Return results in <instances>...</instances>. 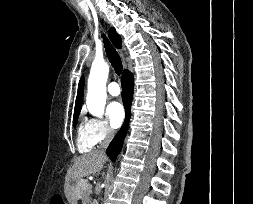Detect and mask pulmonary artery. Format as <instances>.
Listing matches in <instances>:
<instances>
[{
  "mask_svg": "<svg viewBox=\"0 0 253 204\" xmlns=\"http://www.w3.org/2000/svg\"><path fill=\"white\" fill-rule=\"evenodd\" d=\"M107 91L111 96H118L121 90L117 82H111L108 84Z\"/></svg>",
  "mask_w": 253,
  "mask_h": 204,
  "instance_id": "pulmonary-artery-1",
  "label": "pulmonary artery"
}]
</instances>
